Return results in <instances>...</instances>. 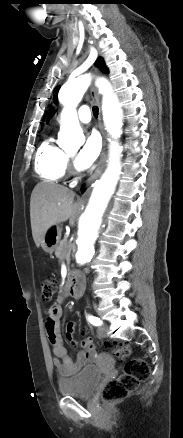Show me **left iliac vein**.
Listing matches in <instances>:
<instances>
[{
  "label": "left iliac vein",
  "instance_id": "obj_1",
  "mask_svg": "<svg viewBox=\"0 0 183 438\" xmlns=\"http://www.w3.org/2000/svg\"><path fill=\"white\" fill-rule=\"evenodd\" d=\"M107 330L108 328L106 326H100L98 328V336L101 338H105L107 336Z\"/></svg>",
  "mask_w": 183,
  "mask_h": 438
}]
</instances>
